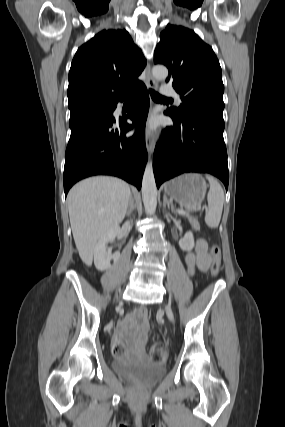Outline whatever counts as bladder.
<instances>
[{"label": "bladder", "instance_id": "31cf9c89", "mask_svg": "<svg viewBox=\"0 0 285 427\" xmlns=\"http://www.w3.org/2000/svg\"><path fill=\"white\" fill-rule=\"evenodd\" d=\"M114 369L119 375L127 380H136L147 385L155 383L165 374V369L162 366L141 361L117 363L114 366Z\"/></svg>", "mask_w": 285, "mask_h": 427}]
</instances>
